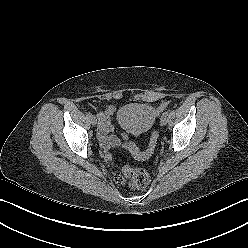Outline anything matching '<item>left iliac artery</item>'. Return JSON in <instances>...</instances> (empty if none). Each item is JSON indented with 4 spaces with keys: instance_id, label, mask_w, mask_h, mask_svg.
<instances>
[{
    "instance_id": "obj_1",
    "label": "left iliac artery",
    "mask_w": 248,
    "mask_h": 248,
    "mask_svg": "<svg viewBox=\"0 0 248 248\" xmlns=\"http://www.w3.org/2000/svg\"><path fill=\"white\" fill-rule=\"evenodd\" d=\"M163 114L166 115V116H168L169 113L168 112H164Z\"/></svg>"
}]
</instances>
